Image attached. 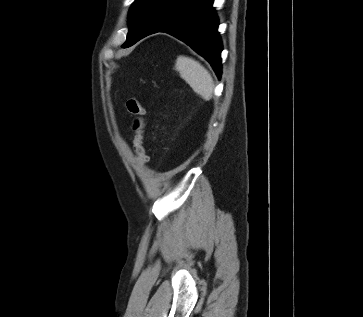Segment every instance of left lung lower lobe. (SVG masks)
I'll return each instance as SVG.
<instances>
[{
	"instance_id": "obj_1",
	"label": "left lung lower lobe",
	"mask_w": 363,
	"mask_h": 317,
	"mask_svg": "<svg viewBox=\"0 0 363 317\" xmlns=\"http://www.w3.org/2000/svg\"><path fill=\"white\" fill-rule=\"evenodd\" d=\"M212 3L213 0H158L137 42L157 32L171 34L204 57L220 79L222 43Z\"/></svg>"
}]
</instances>
